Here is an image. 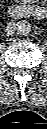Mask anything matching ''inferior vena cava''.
<instances>
[{
  "label": "inferior vena cava",
  "mask_w": 47,
  "mask_h": 129,
  "mask_svg": "<svg viewBox=\"0 0 47 129\" xmlns=\"http://www.w3.org/2000/svg\"><path fill=\"white\" fill-rule=\"evenodd\" d=\"M7 35H10L13 33V26H8V28L6 29Z\"/></svg>",
  "instance_id": "inferior-vena-cava-1"
}]
</instances>
